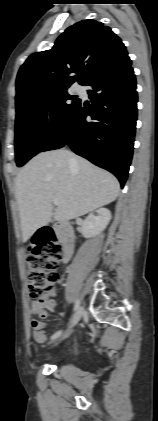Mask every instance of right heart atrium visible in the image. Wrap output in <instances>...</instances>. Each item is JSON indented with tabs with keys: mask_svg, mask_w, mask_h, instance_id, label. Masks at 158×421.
Returning <instances> with one entry per match:
<instances>
[{
	"mask_svg": "<svg viewBox=\"0 0 158 421\" xmlns=\"http://www.w3.org/2000/svg\"><path fill=\"white\" fill-rule=\"evenodd\" d=\"M43 119L44 122L49 125L52 126L55 124L56 119H57V115H56V111L52 106H48L43 114Z\"/></svg>",
	"mask_w": 158,
	"mask_h": 421,
	"instance_id": "1",
	"label": "right heart atrium"
}]
</instances>
